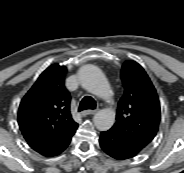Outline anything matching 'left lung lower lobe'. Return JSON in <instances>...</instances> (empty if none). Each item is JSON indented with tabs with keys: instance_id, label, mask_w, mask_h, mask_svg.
Returning <instances> with one entry per match:
<instances>
[{
	"instance_id": "obj_1",
	"label": "left lung lower lobe",
	"mask_w": 184,
	"mask_h": 173,
	"mask_svg": "<svg viewBox=\"0 0 184 173\" xmlns=\"http://www.w3.org/2000/svg\"><path fill=\"white\" fill-rule=\"evenodd\" d=\"M99 142L103 151L116 160L130 159L139 154L126 140L111 129L101 132Z\"/></svg>"
}]
</instances>
